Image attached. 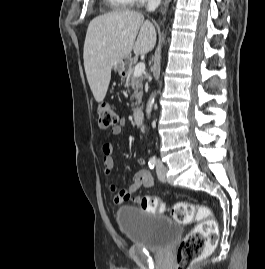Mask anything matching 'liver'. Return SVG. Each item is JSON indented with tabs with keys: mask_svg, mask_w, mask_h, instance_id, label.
<instances>
[{
	"mask_svg": "<svg viewBox=\"0 0 265 269\" xmlns=\"http://www.w3.org/2000/svg\"><path fill=\"white\" fill-rule=\"evenodd\" d=\"M156 44V29L141 13L118 10L95 17L84 43V67L95 100H104L115 61L147 54Z\"/></svg>",
	"mask_w": 265,
	"mask_h": 269,
	"instance_id": "liver-1",
	"label": "liver"
}]
</instances>
